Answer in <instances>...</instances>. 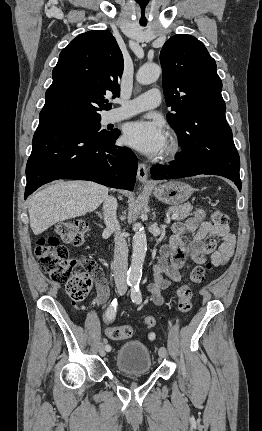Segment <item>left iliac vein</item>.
<instances>
[{"mask_svg":"<svg viewBox=\"0 0 262 431\" xmlns=\"http://www.w3.org/2000/svg\"><path fill=\"white\" fill-rule=\"evenodd\" d=\"M158 353H159L160 359H164V358L167 357V350H166V348L164 346L160 347Z\"/></svg>","mask_w":262,"mask_h":431,"instance_id":"left-iliac-vein-1","label":"left iliac vein"}]
</instances>
